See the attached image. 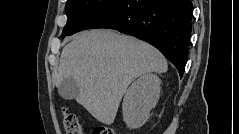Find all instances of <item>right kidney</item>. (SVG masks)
Segmentation results:
<instances>
[{
	"label": "right kidney",
	"mask_w": 239,
	"mask_h": 134,
	"mask_svg": "<svg viewBox=\"0 0 239 134\" xmlns=\"http://www.w3.org/2000/svg\"><path fill=\"white\" fill-rule=\"evenodd\" d=\"M160 78L151 73L141 75L125 93L122 111L126 125L131 129L141 127L149 112L157 104L160 93Z\"/></svg>",
	"instance_id": "obj_1"
}]
</instances>
